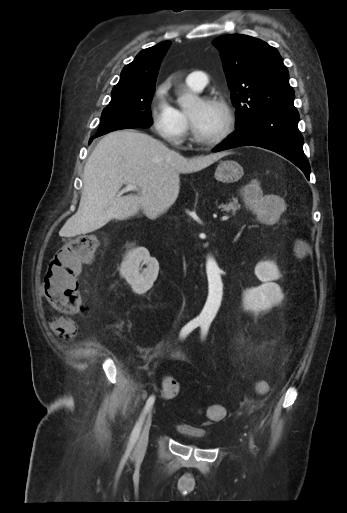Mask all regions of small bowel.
Segmentation results:
<instances>
[{"mask_svg":"<svg viewBox=\"0 0 347 513\" xmlns=\"http://www.w3.org/2000/svg\"><path fill=\"white\" fill-rule=\"evenodd\" d=\"M53 333L62 341H71L77 333L75 323L67 317L58 316L51 319ZM163 345L157 344L154 347L146 348L145 353L152 358H159L162 355ZM172 357L176 360H184L185 356L179 351L173 352Z\"/></svg>","mask_w":347,"mask_h":513,"instance_id":"obj_1","label":"small bowel"}]
</instances>
